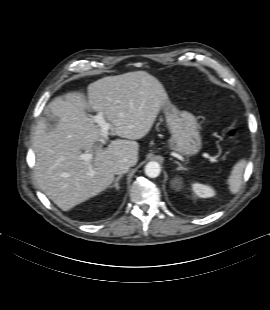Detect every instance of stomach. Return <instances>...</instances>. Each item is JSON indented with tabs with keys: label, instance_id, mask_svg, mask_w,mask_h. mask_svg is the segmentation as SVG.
<instances>
[{
	"label": "stomach",
	"instance_id": "1",
	"mask_svg": "<svg viewBox=\"0 0 270 310\" xmlns=\"http://www.w3.org/2000/svg\"><path fill=\"white\" fill-rule=\"evenodd\" d=\"M162 109L171 133L169 148L184 156L196 155L202 148V139L195 116L178 110L169 100Z\"/></svg>",
	"mask_w": 270,
	"mask_h": 310
}]
</instances>
